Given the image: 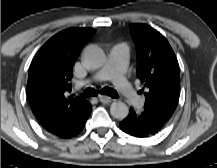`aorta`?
Segmentation results:
<instances>
[{
  "instance_id": "aorta-1",
  "label": "aorta",
  "mask_w": 217,
  "mask_h": 168,
  "mask_svg": "<svg viewBox=\"0 0 217 168\" xmlns=\"http://www.w3.org/2000/svg\"><path fill=\"white\" fill-rule=\"evenodd\" d=\"M105 61L106 55L99 46L90 45L83 52V62L91 69H98L102 67ZM110 113L114 118L123 120L127 117L129 108L125 103L116 101L111 104Z\"/></svg>"
}]
</instances>
